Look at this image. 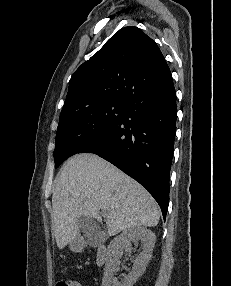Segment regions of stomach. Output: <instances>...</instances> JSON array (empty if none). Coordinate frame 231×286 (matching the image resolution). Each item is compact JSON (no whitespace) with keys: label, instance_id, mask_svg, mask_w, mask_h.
Returning <instances> with one entry per match:
<instances>
[{"label":"stomach","instance_id":"1","mask_svg":"<svg viewBox=\"0 0 231 286\" xmlns=\"http://www.w3.org/2000/svg\"><path fill=\"white\" fill-rule=\"evenodd\" d=\"M70 246L72 249H77V245L75 244V242H71Z\"/></svg>","mask_w":231,"mask_h":286}]
</instances>
